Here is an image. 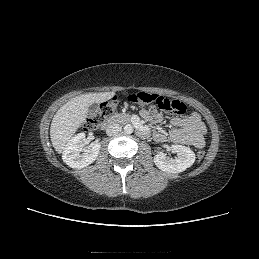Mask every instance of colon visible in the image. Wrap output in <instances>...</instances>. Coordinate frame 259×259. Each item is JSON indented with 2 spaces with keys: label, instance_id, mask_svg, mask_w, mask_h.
<instances>
[{
  "label": "colon",
  "instance_id": "colon-1",
  "mask_svg": "<svg viewBox=\"0 0 259 259\" xmlns=\"http://www.w3.org/2000/svg\"><path fill=\"white\" fill-rule=\"evenodd\" d=\"M128 100L133 104H153L163 111H167L176 115H182L186 111V105L179 101L168 99L158 94L148 92H137L131 94ZM118 107V101L116 98H112L109 101L102 103L97 112L90 116L85 123L87 129H94L105 122L107 119L113 116ZM205 152L200 150L197 152V158L203 159Z\"/></svg>",
  "mask_w": 259,
  "mask_h": 259
}]
</instances>
